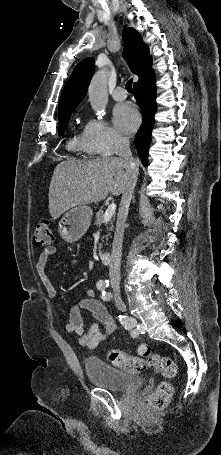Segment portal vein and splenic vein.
Wrapping results in <instances>:
<instances>
[{"label":"portal vein and splenic vein","instance_id":"1","mask_svg":"<svg viewBox=\"0 0 221 455\" xmlns=\"http://www.w3.org/2000/svg\"><path fill=\"white\" fill-rule=\"evenodd\" d=\"M115 211H116V204L115 203L110 204L108 206V208L106 209V212L104 213L103 221L108 222L115 214Z\"/></svg>","mask_w":221,"mask_h":455}]
</instances>
